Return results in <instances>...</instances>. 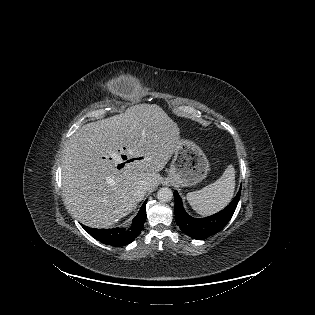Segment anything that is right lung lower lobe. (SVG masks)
Wrapping results in <instances>:
<instances>
[{
    "instance_id": "right-lung-lower-lobe-1",
    "label": "right lung lower lobe",
    "mask_w": 315,
    "mask_h": 315,
    "mask_svg": "<svg viewBox=\"0 0 315 315\" xmlns=\"http://www.w3.org/2000/svg\"><path fill=\"white\" fill-rule=\"evenodd\" d=\"M146 221V201L140 208V211L133 219L132 227L128 230L121 228L113 229H94L82 225V227L95 239L111 246H124L130 244L142 231Z\"/></svg>"
}]
</instances>
